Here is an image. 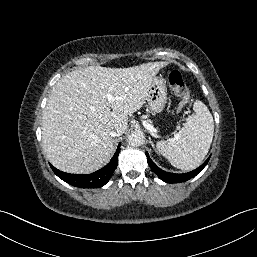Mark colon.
<instances>
[{
  "instance_id": "colon-1",
  "label": "colon",
  "mask_w": 257,
  "mask_h": 257,
  "mask_svg": "<svg viewBox=\"0 0 257 257\" xmlns=\"http://www.w3.org/2000/svg\"><path fill=\"white\" fill-rule=\"evenodd\" d=\"M168 84L172 93L179 98V110L183 109L189 103L190 95L180 72L171 71L168 75Z\"/></svg>"
}]
</instances>
